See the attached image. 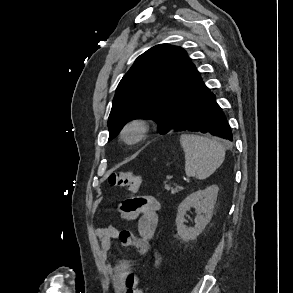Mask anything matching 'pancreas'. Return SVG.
<instances>
[{
    "mask_svg": "<svg viewBox=\"0 0 293 293\" xmlns=\"http://www.w3.org/2000/svg\"><path fill=\"white\" fill-rule=\"evenodd\" d=\"M165 189H167V190L171 189V193L176 194V193L180 192L183 188L179 185H176L174 188L173 187L170 188V186L165 184Z\"/></svg>",
    "mask_w": 293,
    "mask_h": 293,
    "instance_id": "1",
    "label": "pancreas"
}]
</instances>
